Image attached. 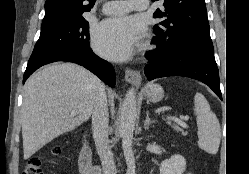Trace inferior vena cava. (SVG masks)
<instances>
[{"label":"inferior vena cava","mask_w":249,"mask_h":174,"mask_svg":"<svg viewBox=\"0 0 249 174\" xmlns=\"http://www.w3.org/2000/svg\"><path fill=\"white\" fill-rule=\"evenodd\" d=\"M109 111L105 88L102 85L95 98L92 113V131L97 152L100 156L103 174H116L113 153L108 139Z\"/></svg>","instance_id":"inferior-vena-cava-1"}]
</instances>
